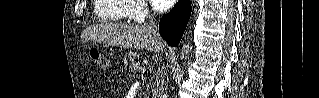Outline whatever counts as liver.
Segmentation results:
<instances>
[{"label":"liver","mask_w":319,"mask_h":98,"mask_svg":"<svg viewBox=\"0 0 319 98\" xmlns=\"http://www.w3.org/2000/svg\"><path fill=\"white\" fill-rule=\"evenodd\" d=\"M85 40L124 48L158 52L165 48L161 38H155L145 26L106 23L89 26L83 31Z\"/></svg>","instance_id":"6515ba94"}]
</instances>
